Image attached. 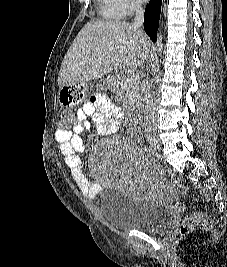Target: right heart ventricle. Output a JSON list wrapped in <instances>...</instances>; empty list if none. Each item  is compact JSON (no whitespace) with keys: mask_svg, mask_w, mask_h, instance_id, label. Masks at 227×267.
I'll return each instance as SVG.
<instances>
[{"mask_svg":"<svg viewBox=\"0 0 227 267\" xmlns=\"http://www.w3.org/2000/svg\"><path fill=\"white\" fill-rule=\"evenodd\" d=\"M99 15L106 20H117L123 13L116 0H96Z\"/></svg>","mask_w":227,"mask_h":267,"instance_id":"1","label":"right heart ventricle"}]
</instances>
